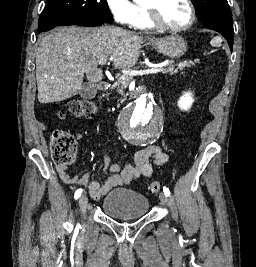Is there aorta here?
Masks as SVG:
<instances>
[{
    "label": "aorta",
    "mask_w": 256,
    "mask_h": 267,
    "mask_svg": "<svg viewBox=\"0 0 256 267\" xmlns=\"http://www.w3.org/2000/svg\"><path fill=\"white\" fill-rule=\"evenodd\" d=\"M153 92H146L139 101H131L124 117H118L119 127H161L162 108L154 104ZM128 143H159L160 128H121Z\"/></svg>",
    "instance_id": "obj_1"
}]
</instances>
